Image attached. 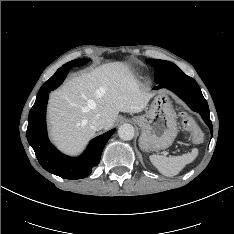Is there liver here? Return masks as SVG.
Here are the masks:
<instances>
[{"mask_svg": "<svg viewBox=\"0 0 234 234\" xmlns=\"http://www.w3.org/2000/svg\"><path fill=\"white\" fill-rule=\"evenodd\" d=\"M153 97L127 65L114 62L68 80L51 93L48 118L52 141L68 154L81 151L94 136L91 119L100 114L110 129L119 112H141Z\"/></svg>", "mask_w": 234, "mask_h": 234, "instance_id": "6515ba94", "label": "liver"}]
</instances>
